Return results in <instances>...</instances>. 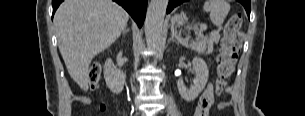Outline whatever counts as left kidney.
<instances>
[{"mask_svg":"<svg viewBox=\"0 0 305 116\" xmlns=\"http://www.w3.org/2000/svg\"><path fill=\"white\" fill-rule=\"evenodd\" d=\"M192 69L195 72L194 84L188 89L182 79L177 82L178 90L181 97L190 102L195 100L199 93L205 88L209 77V69L206 62L201 57H194L192 60Z\"/></svg>","mask_w":305,"mask_h":116,"instance_id":"1","label":"left kidney"}]
</instances>
